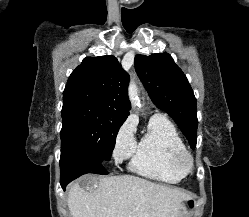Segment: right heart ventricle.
Listing matches in <instances>:
<instances>
[{
  "mask_svg": "<svg viewBox=\"0 0 249 217\" xmlns=\"http://www.w3.org/2000/svg\"><path fill=\"white\" fill-rule=\"evenodd\" d=\"M184 149V142L174 124L164 115L155 114L135 147L129 168L152 180L178 183L183 175L175 169L173 156Z\"/></svg>",
  "mask_w": 249,
  "mask_h": 217,
  "instance_id": "obj_1",
  "label": "right heart ventricle"
}]
</instances>
